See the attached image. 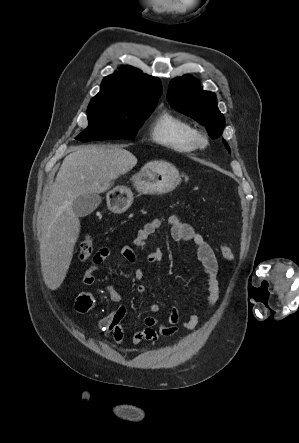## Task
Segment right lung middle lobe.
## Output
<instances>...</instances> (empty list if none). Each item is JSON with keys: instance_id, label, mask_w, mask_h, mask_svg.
<instances>
[{"instance_id": "1", "label": "right lung middle lobe", "mask_w": 299, "mask_h": 443, "mask_svg": "<svg viewBox=\"0 0 299 443\" xmlns=\"http://www.w3.org/2000/svg\"><path fill=\"white\" fill-rule=\"evenodd\" d=\"M155 104H131L92 99L88 105L89 125L76 139L82 142L133 139L155 108Z\"/></svg>"}]
</instances>
